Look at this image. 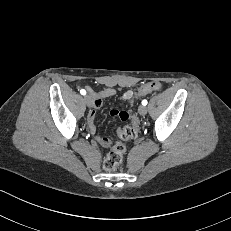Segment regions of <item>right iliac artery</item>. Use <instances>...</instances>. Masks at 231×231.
<instances>
[{
  "mask_svg": "<svg viewBox=\"0 0 231 231\" xmlns=\"http://www.w3.org/2000/svg\"><path fill=\"white\" fill-rule=\"evenodd\" d=\"M80 93H81L82 95H85V94H86V91H85L84 89H81V90H80Z\"/></svg>",
  "mask_w": 231,
  "mask_h": 231,
  "instance_id": "1",
  "label": "right iliac artery"
}]
</instances>
